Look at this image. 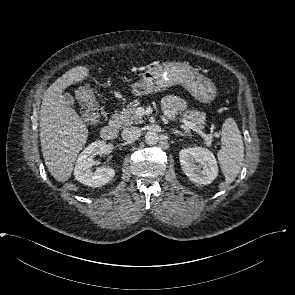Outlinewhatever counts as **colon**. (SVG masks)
<instances>
[{
    "instance_id": "5ec220e1",
    "label": "colon",
    "mask_w": 295,
    "mask_h": 295,
    "mask_svg": "<svg viewBox=\"0 0 295 295\" xmlns=\"http://www.w3.org/2000/svg\"><path fill=\"white\" fill-rule=\"evenodd\" d=\"M83 117L85 122L88 124H93L97 121L98 110L92 93L87 94L86 105L83 111Z\"/></svg>"
}]
</instances>
